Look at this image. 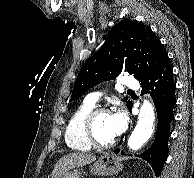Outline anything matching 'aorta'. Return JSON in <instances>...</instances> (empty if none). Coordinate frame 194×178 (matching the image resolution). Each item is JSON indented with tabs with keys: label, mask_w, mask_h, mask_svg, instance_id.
I'll return each instance as SVG.
<instances>
[{
	"label": "aorta",
	"mask_w": 194,
	"mask_h": 178,
	"mask_svg": "<svg viewBox=\"0 0 194 178\" xmlns=\"http://www.w3.org/2000/svg\"><path fill=\"white\" fill-rule=\"evenodd\" d=\"M154 121V107L148 100H144L137 125L128 139V146L131 150H139L149 140L154 131Z\"/></svg>",
	"instance_id": "1"
}]
</instances>
